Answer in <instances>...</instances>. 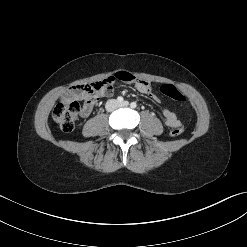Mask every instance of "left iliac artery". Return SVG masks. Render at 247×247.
Segmentation results:
<instances>
[{"label":"left iliac artery","mask_w":247,"mask_h":247,"mask_svg":"<svg viewBox=\"0 0 247 247\" xmlns=\"http://www.w3.org/2000/svg\"><path fill=\"white\" fill-rule=\"evenodd\" d=\"M130 106H131V108H136V107H137V104H136V102H132V103L130 104Z\"/></svg>","instance_id":"obj_1"}]
</instances>
